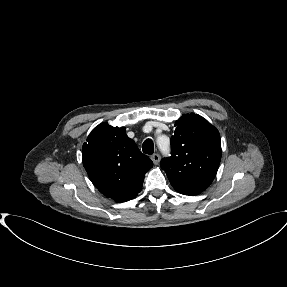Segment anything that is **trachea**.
I'll use <instances>...</instances> for the list:
<instances>
[{
	"label": "trachea",
	"mask_w": 287,
	"mask_h": 287,
	"mask_svg": "<svg viewBox=\"0 0 287 287\" xmlns=\"http://www.w3.org/2000/svg\"><path fill=\"white\" fill-rule=\"evenodd\" d=\"M142 150L146 154H153L154 152V144L151 139H146L142 144Z\"/></svg>",
	"instance_id": "1"
}]
</instances>
